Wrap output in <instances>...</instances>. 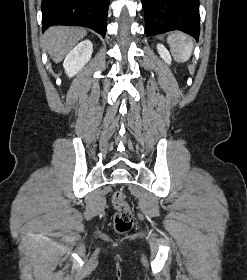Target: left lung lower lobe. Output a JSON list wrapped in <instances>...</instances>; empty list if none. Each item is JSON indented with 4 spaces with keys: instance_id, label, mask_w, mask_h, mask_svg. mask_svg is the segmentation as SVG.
Instances as JSON below:
<instances>
[{
    "instance_id": "1",
    "label": "left lung lower lobe",
    "mask_w": 247,
    "mask_h": 280,
    "mask_svg": "<svg viewBox=\"0 0 247 280\" xmlns=\"http://www.w3.org/2000/svg\"><path fill=\"white\" fill-rule=\"evenodd\" d=\"M142 6L147 36L181 30L198 40L199 0H142Z\"/></svg>"
}]
</instances>
